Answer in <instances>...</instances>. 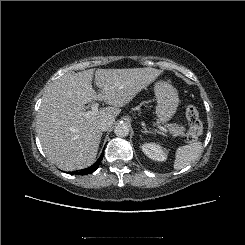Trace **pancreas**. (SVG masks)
I'll use <instances>...</instances> for the list:
<instances>
[{
	"label": "pancreas",
	"mask_w": 245,
	"mask_h": 245,
	"mask_svg": "<svg viewBox=\"0 0 245 245\" xmlns=\"http://www.w3.org/2000/svg\"><path fill=\"white\" fill-rule=\"evenodd\" d=\"M165 127L170 131V133L174 136V137H178V136H184L185 135V128L181 125L178 124H167L165 125Z\"/></svg>",
	"instance_id": "1"
}]
</instances>
